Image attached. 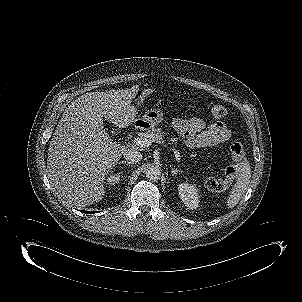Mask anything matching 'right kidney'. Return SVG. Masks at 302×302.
Masks as SVG:
<instances>
[{"instance_id":"obj_1","label":"right kidney","mask_w":302,"mask_h":302,"mask_svg":"<svg viewBox=\"0 0 302 302\" xmlns=\"http://www.w3.org/2000/svg\"><path fill=\"white\" fill-rule=\"evenodd\" d=\"M120 180V175L119 174H114V175H110V177H108L107 179V183L110 185H114L115 183H118Z\"/></svg>"}]
</instances>
